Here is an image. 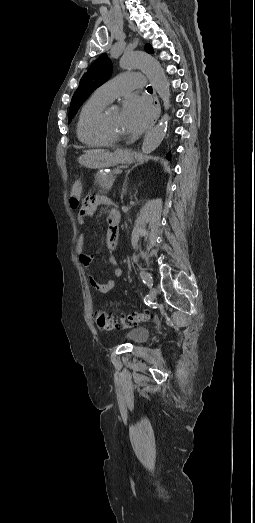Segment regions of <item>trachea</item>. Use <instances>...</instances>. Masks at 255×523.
I'll return each instance as SVG.
<instances>
[{"mask_svg": "<svg viewBox=\"0 0 255 523\" xmlns=\"http://www.w3.org/2000/svg\"><path fill=\"white\" fill-rule=\"evenodd\" d=\"M147 92H149V93H152V92H153V90H152V87H151V86L147 87Z\"/></svg>", "mask_w": 255, "mask_h": 523, "instance_id": "3493384b", "label": "trachea"}]
</instances>
